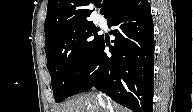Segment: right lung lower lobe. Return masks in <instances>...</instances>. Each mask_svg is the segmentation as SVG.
<instances>
[{
    "label": "right lung lower lobe",
    "instance_id": "1",
    "mask_svg": "<svg viewBox=\"0 0 193 112\" xmlns=\"http://www.w3.org/2000/svg\"><path fill=\"white\" fill-rule=\"evenodd\" d=\"M111 57L99 49L70 96L95 87L133 112H152L154 26L148 0H132L111 16Z\"/></svg>",
    "mask_w": 193,
    "mask_h": 112
}]
</instances>
